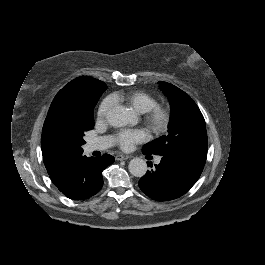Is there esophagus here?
Listing matches in <instances>:
<instances>
[{"label":"esophagus","mask_w":265,"mask_h":265,"mask_svg":"<svg viewBox=\"0 0 265 265\" xmlns=\"http://www.w3.org/2000/svg\"><path fill=\"white\" fill-rule=\"evenodd\" d=\"M132 158V155H123V154H119L115 156L116 160H127Z\"/></svg>","instance_id":"1"}]
</instances>
